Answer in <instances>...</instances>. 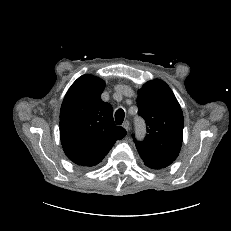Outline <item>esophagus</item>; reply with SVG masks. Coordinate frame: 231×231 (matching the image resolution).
I'll return each mask as SVG.
<instances>
[{
  "label": "esophagus",
  "instance_id": "obj_1",
  "mask_svg": "<svg viewBox=\"0 0 231 231\" xmlns=\"http://www.w3.org/2000/svg\"><path fill=\"white\" fill-rule=\"evenodd\" d=\"M123 127H124L125 130L128 132L129 129H130V123H129V121H125V122L123 123Z\"/></svg>",
  "mask_w": 231,
  "mask_h": 231
}]
</instances>
